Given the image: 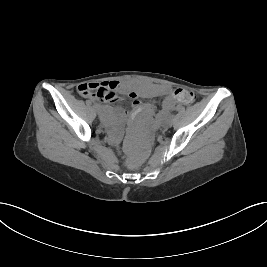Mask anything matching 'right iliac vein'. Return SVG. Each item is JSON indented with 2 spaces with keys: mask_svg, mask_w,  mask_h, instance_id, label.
<instances>
[{
  "mask_svg": "<svg viewBox=\"0 0 267 267\" xmlns=\"http://www.w3.org/2000/svg\"><path fill=\"white\" fill-rule=\"evenodd\" d=\"M96 112L99 114V113H100V109H99V108H97V109H96Z\"/></svg>",
  "mask_w": 267,
  "mask_h": 267,
  "instance_id": "1",
  "label": "right iliac vein"
}]
</instances>
